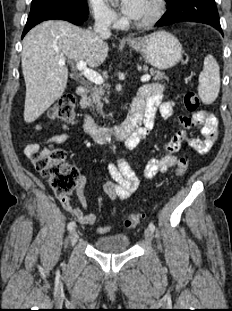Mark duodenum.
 <instances>
[{
    "instance_id": "1",
    "label": "duodenum",
    "mask_w": 232,
    "mask_h": 311,
    "mask_svg": "<svg viewBox=\"0 0 232 311\" xmlns=\"http://www.w3.org/2000/svg\"><path fill=\"white\" fill-rule=\"evenodd\" d=\"M76 94L80 98L85 97L87 94V87L84 84L79 85ZM144 108V102L136 97L132 103L131 114L122 123L113 127L99 126L86 114L83 120L84 132L99 143H105L109 140H127L132 136L144 119Z\"/></svg>"
}]
</instances>
